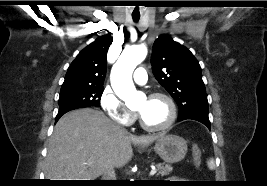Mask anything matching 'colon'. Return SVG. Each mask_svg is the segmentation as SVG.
I'll return each instance as SVG.
<instances>
[{
	"mask_svg": "<svg viewBox=\"0 0 267 186\" xmlns=\"http://www.w3.org/2000/svg\"><path fill=\"white\" fill-rule=\"evenodd\" d=\"M202 153L198 147H194L193 149V158L195 165H199L201 161Z\"/></svg>",
	"mask_w": 267,
	"mask_h": 186,
	"instance_id": "5ec220e1",
	"label": "colon"
}]
</instances>
